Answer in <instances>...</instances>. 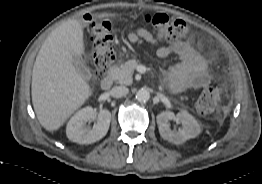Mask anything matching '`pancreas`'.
I'll return each instance as SVG.
<instances>
[{"instance_id":"pancreas-1","label":"pancreas","mask_w":262,"mask_h":184,"mask_svg":"<svg viewBox=\"0 0 262 184\" xmlns=\"http://www.w3.org/2000/svg\"><path fill=\"white\" fill-rule=\"evenodd\" d=\"M138 62L136 59H131L120 66L112 67L110 69L112 79L123 85L132 84V75Z\"/></svg>"}]
</instances>
